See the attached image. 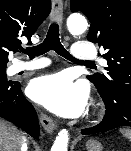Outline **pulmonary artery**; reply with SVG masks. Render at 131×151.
Returning a JSON list of instances; mask_svg holds the SVG:
<instances>
[{
    "mask_svg": "<svg viewBox=\"0 0 131 151\" xmlns=\"http://www.w3.org/2000/svg\"><path fill=\"white\" fill-rule=\"evenodd\" d=\"M73 57L79 61H91L96 59V51L94 46L90 42L82 41L77 42L72 48ZM100 64H104L103 60H99ZM47 65L45 60H37L33 62H18L13 65L14 72H20L25 70H34Z\"/></svg>",
    "mask_w": 131,
    "mask_h": 151,
    "instance_id": "e3ab8cb5",
    "label": "pulmonary artery"
}]
</instances>
